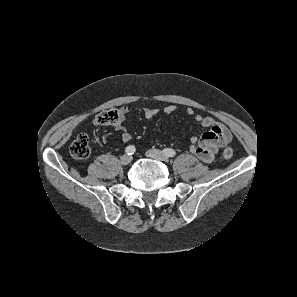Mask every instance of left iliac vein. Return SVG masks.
Here are the masks:
<instances>
[{"instance_id":"obj_1","label":"left iliac vein","mask_w":297,"mask_h":297,"mask_svg":"<svg viewBox=\"0 0 297 297\" xmlns=\"http://www.w3.org/2000/svg\"><path fill=\"white\" fill-rule=\"evenodd\" d=\"M146 156L159 161H167L168 157L160 150L150 149L146 152Z\"/></svg>"}]
</instances>
